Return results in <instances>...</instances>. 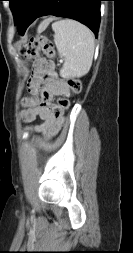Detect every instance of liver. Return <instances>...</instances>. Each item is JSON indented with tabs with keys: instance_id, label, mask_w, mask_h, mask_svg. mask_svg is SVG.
I'll use <instances>...</instances> for the list:
<instances>
[{
	"instance_id": "obj_1",
	"label": "liver",
	"mask_w": 133,
	"mask_h": 253,
	"mask_svg": "<svg viewBox=\"0 0 133 253\" xmlns=\"http://www.w3.org/2000/svg\"><path fill=\"white\" fill-rule=\"evenodd\" d=\"M52 20H53V18L50 17V18H47L44 21H42L38 27V33L44 31Z\"/></svg>"
}]
</instances>
